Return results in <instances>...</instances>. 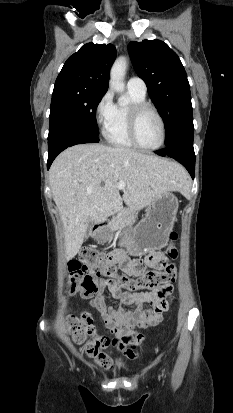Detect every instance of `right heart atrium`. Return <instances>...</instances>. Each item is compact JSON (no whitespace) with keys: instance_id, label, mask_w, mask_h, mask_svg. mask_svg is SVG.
I'll return each instance as SVG.
<instances>
[{"instance_id":"d8ad5b80","label":"right heart atrium","mask_w":233,"mask_h":413,"mask_svg":"<svg viewBox=\"0 0 233 413\" xmlns=\"http://www.w3.org/2000/svg\"><path fill=\"white\" fill-rule=\"evenodd\" d=\"M113 96L110 91L105 92L97 101L94 116L97 124L104 131L109 125L114 111Z\"/></svg>"}]
</instances>
